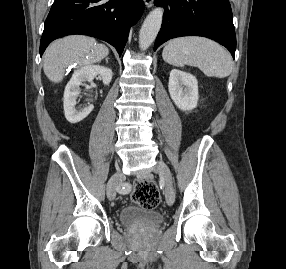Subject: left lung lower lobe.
<instances>
[{
  "label": "left lung lower lobe",
  "instance_id": "obj_1",
  "mask_svg": "<svg viewBox=\"0 0 286 269\" xmlns=\"http://www.w3.org/2000/svg\"><path fill=\"white\" fill-rule=\"evenodd\" d=\"M163 6V23L154 50L180 36H204L225 46L235 56L236 35L228 0H154Z\"/></svg>",
  "mask_w": 286,
  "mask_h": 269
}]
</instances>
